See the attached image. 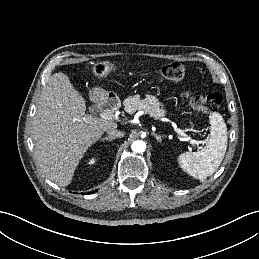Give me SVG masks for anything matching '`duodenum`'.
Segmentation results:
<instances>
[{
  "label": "duodenum",
  "instance_id": "obj_1",
  "mask_svg": "<svg viewBox=\"0 0 259 259\" xmlns=\"http://www.w3.org/2000/svg\"><path fill=\"white\" fill-rule=\"evenodd\" d=\"M99 107L101 109H104V110H113L117 104H118V100L117 98L112 95V94H109L105 97H103L99 102Z\"/></svg>",
  "mask_w": 259,
  "mask_h": 259
}]
</instances>
